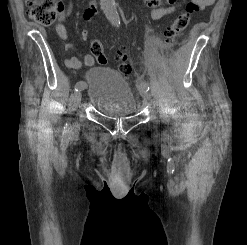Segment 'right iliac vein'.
<instances>
[{"mask_svg": "<svg viewBox=\"0 0 247 245\" xmlns=\"http://www.w3.org/2000/svg\"><path fill=\"white\" fill-rule=\"evenodd\" d=\"M84 88H85V86H83L81 89H79L78 91L75 92L74 99H75V102H76L77 104L81 101V97H82L81 91H82Z\"/></svg>", "mask_w": 247, "mask_h": 245, "instance_id": "1", "label": "right iliac vein"}]
</instances>
